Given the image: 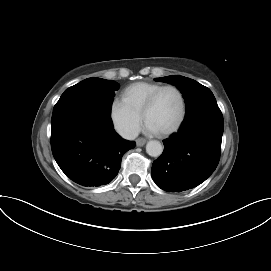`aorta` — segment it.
Wrapping results in <instances>:
<instances>
[{"mask_svg": "<svg viewBox=\"0 0 271 271\" xmlns=\"http://www.w3.org/2000/svg\"><path fill=\"white\" fill-rule=\"evenodd\" d=\"M146 152L152 157H159L163 152V147L159 141L151 140L146 144Z\"/></svg>", "mask_w": 271, "mask_h": 271, "instance_id": "1", "label": "aorta"}]
</instances>
